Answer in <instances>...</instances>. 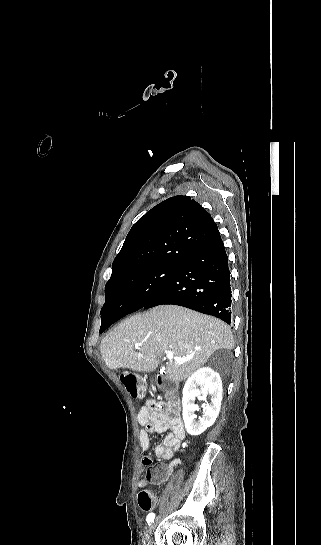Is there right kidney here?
I'll return each instance as SVG.
<instances>
[{
  "instance_id": "obj_1",
  "label": "right kidney",
  "mask_w": 321,
  "mask_h": 545,
  "mask_svg": "<svg viewBox=\"0 0 321 545\" xmlns=\"http://www.w3.org/2000/svg\"><path fill=\"white\" fill-rule=\"evenodd\" d=\"M200 387V389H198ZM183 421L189 435H201L208 427L214 425L220 411L222 401V381L219 373H215L210 367H203L193 373L187 379L182 391ZM202 395L206 399L210 395V403L203 405V415L199 421H195V411H199L195 405L196 397Z\"/></svg>"
}]
</instances>
